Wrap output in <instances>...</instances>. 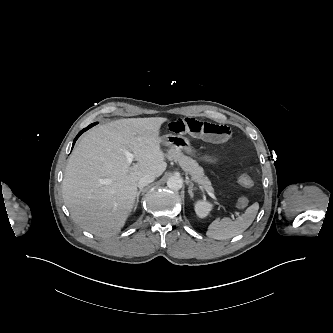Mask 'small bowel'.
<instances>
[{"label": "small bowel", "mask_w": 333, "mask_h": 333, "mask_svg": "<svg viewBox=\"0 0 333 333\" xmlns=\"http://www.w3.org/2000/svg\"><path fill=\"white\" fill-rule=\"evenodd\" d=\"M167 128L173 134L190 135L210 143H223L231 138V130L228 126L191 117L170 120L167 122Z\"/></svg>", "instance_id": "small-bowel-1"}]
</instances>
